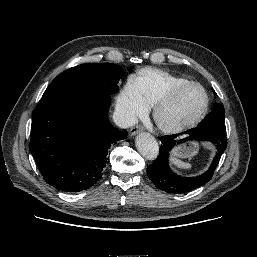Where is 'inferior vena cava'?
Returning <instances> with one entry per match:
<instances>
[{
	"label": "inferior vena cava",
	"mask_w": 257,
	"mask_h": 257,
	"mask_svg": "<svg viewBox=\"0 0 257 257\" xmlns=\"http://www.w3.org/2000/svg\"><path fill=\"white\" fill-rule=\"evenodd\" d=\"M113 121L121 128H129L138 122L137 117L130 111L116 107L113 113Z\"/></svg>",
	"instance_id": "inferior-vena-cava-1"
}]
</instances>
